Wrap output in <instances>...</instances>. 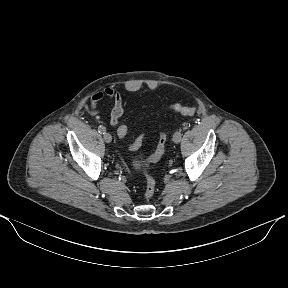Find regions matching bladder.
I'll return each instance as SVG.
<instances>
[{
	"mask_svg": "<svg viewBox=\"0 0 288 288\" xmlns=\"http://www.w3.org/2000/svg\"><path fill=\"white\" fill-rule=\"evenodd\" d=\"M132 166L135 168V169H139V166H140V162L138 160H134L132 162Z\"/></svg>",
	"mask_w": 288,
	"mask_h": 288,
	"instance_id": "31cf9c89",
	"label": "bladder"
}]
</instances>
